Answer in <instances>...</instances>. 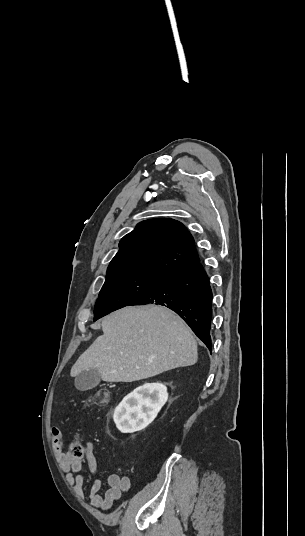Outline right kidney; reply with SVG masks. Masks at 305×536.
Returning <instances> with one entry per match:
<instances>
[{
  "label": "right kidney",
  "mask_w": 305,
  "mask_h": 536,
  "mask_svg": "<svg viewBox=\"0 0 305 536\" xmlns=\"http://www.w3.org/2000/svg\"><path fill=\"white\" fill-rule=\"evenodd\" d=\"M168 400L164 384H143L126 396L114 412V422L123 434H133L146 428L155 420Z\"/></svg>",
  "instance_id": "right-kidney-1"
}]
</instances>
